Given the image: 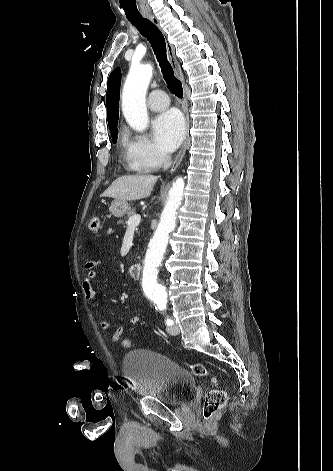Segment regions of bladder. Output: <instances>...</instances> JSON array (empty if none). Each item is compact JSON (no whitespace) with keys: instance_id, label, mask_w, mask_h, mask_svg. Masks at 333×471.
Masks as SVG:
<instances>
[{"instance_id":"obj_1","label":"bladder","mask_w":333,"mask_h":471,"mask_svg":"<svg viewBox=\"0 0 333 471\" xmlns=\"http://www.w3.org/2000/svg\"><path fill=\"white\" fill-rule=\"evenodd\" d=\"M122 369L135 394L167 405L185 403L196 387V381L187 369L152 350L139 349L127 353Z\"/></svg>"}]
</instances>
